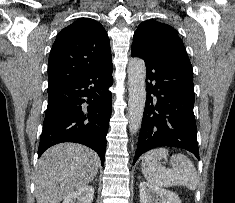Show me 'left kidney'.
I'll return each mask as SVG.
<instances>
[{
    "label": "left kidney",
    "mask_w": 235,
    "mask_h": 203,
    "mask_svg": "<svg viewBox=\"0 0 235 203\" xmlns=\"http://www.w3.org/2000/svg\"><path fill=\"white\" fill-rule=\"evenodd\" d=\"M139 192L140 203H181L176 193L159 188L149 182H141Z\"/></svg>",
    "instance_id": "1"
}]
</instances>
